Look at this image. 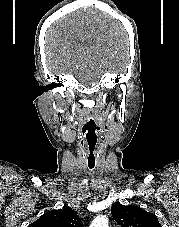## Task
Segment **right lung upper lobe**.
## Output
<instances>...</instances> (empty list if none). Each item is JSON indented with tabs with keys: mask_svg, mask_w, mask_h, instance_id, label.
<instances>
[{
	"mask_svg": "<svg viewBox=\"0 0 179 227\" xmlns=\"http://www.w3.org/2000/svg\"><path fill=\"white\" fill-rule=\"evenodd\" d=\"M28 227H83V224L76 211L64 206L62 209L44 213Z\"/></svg>",
	"mask_w": 179,
	"mask_h": 227,
	"instance_id": "cb5924a9",
	"label": "right lung upper lobe"
}]
</instances>
